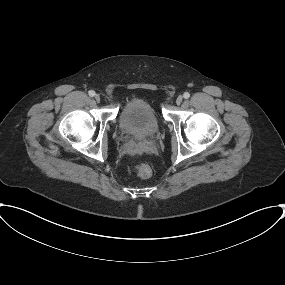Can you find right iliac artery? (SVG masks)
<instances>
[{
  "label": "right iliac artery",
  "instance_id": "obj_1",
  "mask_svg": "<svg viewBox=\"0 0 285 285\" xmlns=\"http://www.w3.org/2000/svg\"><path fill=\"white\" fill-rule=\"evenodd\" d=\"M88 94H89L90 97H93V96H95V91L90 90V91L88 92Z\"/></svg>",
  "mask_w": 285,
  "mask_h": 285
}]
</instances>
